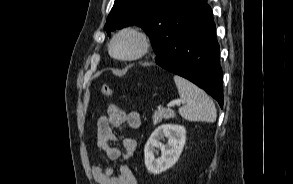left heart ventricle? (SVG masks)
<instances>
[{
  "label": "left heart ventricle",
  "mask_w": 293,
  "mask_h": 184,
  "mask_svg": "<svg viewBox=\"0 0 293 184\" xmlns=\"http://www.w3.org/2000/svg\"><path fill=\"white\" fill-rule=\"evenodd\" d=\"M139 42L137 38L131 34L120 36L114 44V51L121 56H128L138 50Z\"/></svg>",
  "instance_id": "b2bd125f"
}]
</instances>
